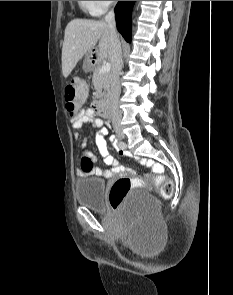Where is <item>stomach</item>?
Instances as JSON below:
<instances>
[{
  "label": "stomach",
  "instance_id": "obj_1",
  "mask_svg": "<svg viewBox=\"0 0 233 295\" xmlns=\"http://www.w3.org/2000/svg\"><path fill=\"white\" fill-rule=\"evenodd\" d=\"M91 61L92 60H91L90 54H86L84 64H83V68L85 71H89L92 68Z\"/></svg>",
  "mask_w": 233,
  "mask_h": 295
}]
</instances>
